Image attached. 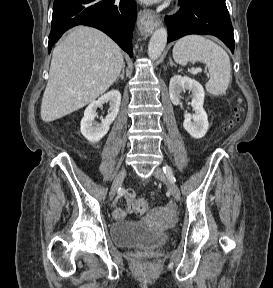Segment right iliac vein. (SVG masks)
Wrapping results in <instances>:
<instances>
[{"label": "right iliac vein", "instance_id": "1", "mask_svg": "<svg viewBox=\"0 0 273 288\" xmlns=\"http://www.w3.org/2000/svg\"><path fill=\"white\" fill-rule=\"evenodd\" d=\"M127 174V170L126 169H122L117 176L115 177L111 189H110V193H109V197L110 199H113L117 190L119 189V187L121 186L125 176Z\"/></svg>", "mask_w": 273, "mask_h": 288}]
</instances>
